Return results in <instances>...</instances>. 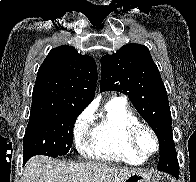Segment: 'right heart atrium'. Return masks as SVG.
Returning <instances> with one entry per match:
<instances>
[{
	"mask_svg": "<svg viewBox=\"0 0 196 182\" xmlns=\"http://www.w3.org/2000/svg\"><path fill=\"white\" fill-rule=\"evenodd\" d=\"M92 115V110L88 108L79 115L75 122L74 139L79 150L83 149L86 139L90 135Z\"/></svg>",
	"mask_w": 196,
	"mask_h": 182,
	"instance_id": "right-heart-atrium-1",
	"label": "right heart atrium"
}]
</instances>
